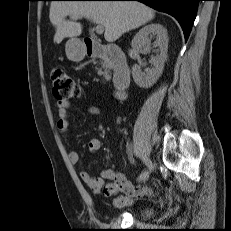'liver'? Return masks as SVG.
Returning a JSON list of instances; mask_svg holds the SVG:
<instances>
[{
	"instance_id": "obj_1",
	"label": "liver",
	"mask_w": 231,
	"mask_h": 231,
	"mask_svg": "<svg viewBox=\"0 0 231 231\" xmlns=\"http://www.w3.org/2000/svg\"><path fill=\"white\" fill-rule=\"evenodd\" d=\"M77 15L102 25L105 28L104 38L111 43L152 20L155 14L151 8L136 1H53L49 18L56 29V43L82 33L80 23L66 20L67 16L74 19Z\"/></svg>"
}]
</instances>
